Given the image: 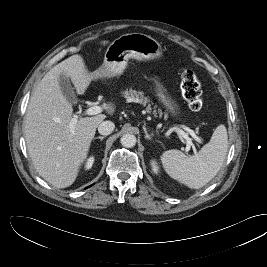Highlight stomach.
Masks as SVG:
<instances>
[{"mask_svg": "<svg viewBox=\"0 0 267 267\" xmlns=\"http://www.w3.org/2000/svg\"><path fill=\"white\" fill-rule=\"evenodd\" d=\"M162 46L154 38L142 34H124L108 47L103 65L94 72L95 77H115L123 73L130 58L154 60L162 56ZM156 94L159 101L172 113H177V105L167 95L165 88L156 81Z\"/></svg>", "mask_w": 267, "mask_h": 267, "instance_id": "0dacf381", "label": "stomach"}]
</instances>
